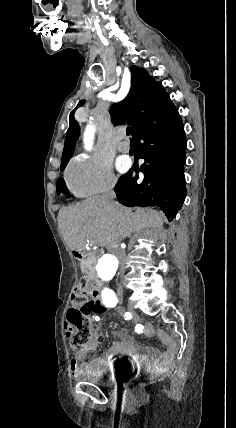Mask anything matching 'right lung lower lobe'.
<instances>
[{
  "label": "right lung lower lobe",
  "instance_id": "obj_1",
  "mask_svg": "<svg viewBox=\"0 0 236 428\" xmlns=\"http://www.w3.org/2000/svg\"><path fill=\"white\" fill-rule=\"evenodd\" d=\"M138 143L139 158L145 163L132 170L144 173L142 182L132 178V170L121 176L115 186L118 201L128 207L158 206L168 220L181 209L186 196V139L178 110L173 106L139 126L132 134ZM143 141V143H141Z\"/></svg>",
  "mask_w": 236,
  "mask_h": 428
}]
</instances>
